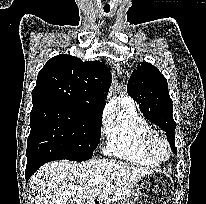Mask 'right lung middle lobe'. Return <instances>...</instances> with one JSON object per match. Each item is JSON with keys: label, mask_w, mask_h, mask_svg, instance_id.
<instances>
[{"label": "right lung middle lobe", "mask_w": 206, "mask_h": 204, "mask_svg": "<svg viewBox=\"0 0 206 204\" xmlns=\"http://www.w3.org/2000/svg\"><path fill=\"white\" fill-rule=\"evenodd\" d=\"M102 112L73 105L33 104L27 156L46 153L51 160L85 161L101 136Z\"/></svg>", "instance_id": "obj_1"}]
</instances>
